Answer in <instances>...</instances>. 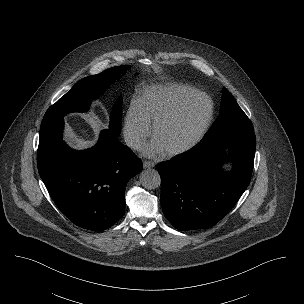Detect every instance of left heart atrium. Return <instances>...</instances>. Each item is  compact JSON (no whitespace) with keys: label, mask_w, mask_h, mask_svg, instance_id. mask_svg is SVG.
I'll return each instance as SVG.
<instances>
[{"label":"left heart atrium","mask_w":304,"mask_h":304,"mask_svg":"<svg viewBox=\"0 0 304 304\" xmlns=\"http://www.w3.org/2000/svg\"><path fill=\"white\" fill-rule=\"evenodd\" d=\"M143 152L145 155L150 157H157L165 152V149L160 144V142L157 139H153L149 144H147L143 148Z\"/></svg>","instance_id":"left-heart-atrium-1"}]
</instances>
